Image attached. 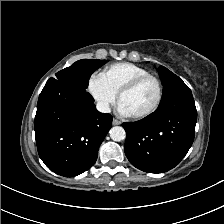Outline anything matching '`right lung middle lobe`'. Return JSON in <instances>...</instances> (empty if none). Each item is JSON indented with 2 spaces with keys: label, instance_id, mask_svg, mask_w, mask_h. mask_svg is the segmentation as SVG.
I'll use <instances>...</instances> for the list:
<instances>
[{
  "label": "right lung middle lobe",
  "instance_id": "obj_1",
  "mask_svg": "<svg viewBox=\"0 0 224 224\" xmlns=\"http://www.w3.org/2000/svg\"><path fill=\"white\" fill-rule=\"evenodd\" d=\"M107 60L82 59L73 63L50 78L47 83H62L76 89L85 90L88 87L91 74L104 65Z\"/></svg>",
  "mask_w": 224,
  "mask_h": 224
}]
</instances>
